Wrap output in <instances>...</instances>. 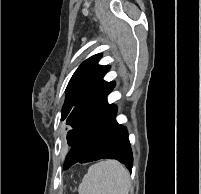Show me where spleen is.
Segmentation results:
<instances>
[{
  "instance_id": "3e777b00",
  "label": "spleen",
  "mask_w": 201,
  "mask_h": 194,
  "mask_svg": "<svg viewBox=\"0 0 201 194\" xmlns=\"http://www.w3.org/2000/svg\"><path fill=\"white\" fill-rule=\"evenodd\" d=\"M129 173L115 160L100 161L89 167L79 185V194H128Z\"/></svg>"
}]
</instances>
